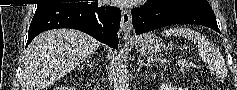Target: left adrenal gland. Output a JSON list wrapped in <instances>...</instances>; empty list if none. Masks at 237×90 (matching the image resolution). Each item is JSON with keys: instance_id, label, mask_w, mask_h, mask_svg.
Segmentation results:
<instances>
[{"instance_id": "obj_1", "label": "left adrenal gland", "mask_w": 237, "mask_h": 90, "mask_svg": "<svg viewBox=\"0 0 237 90\" xmlns=\"http://www.w3.org/2000/svg\"><path fill=\"white\" fill-rule=\"evenodd\" d=\"M145 64H144V60H142L141 56H138V60H137V72H139V70H141V68H144Z\"/></svg>"}]
</instances>
